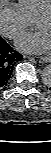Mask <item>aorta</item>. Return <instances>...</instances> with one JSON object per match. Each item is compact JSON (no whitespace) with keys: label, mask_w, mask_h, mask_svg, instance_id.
Returning <instances> with one entry per match:
<instances>
[{"label":"aorta","mask_w":51,"mask_h":153,"mask_svg":"<svg viewBox=\"0 0 51 153\" xmlns=\"http://www.w3.org/2000/svg\"><path fill=\"white\" fill-rule=\"evenodd\" d=\"M42 81L46 84V85H50L51 84V67L48 65L44 68V70L42 71Z\"/></svg>","instance_id":"aorta-1"}]
</instances>
